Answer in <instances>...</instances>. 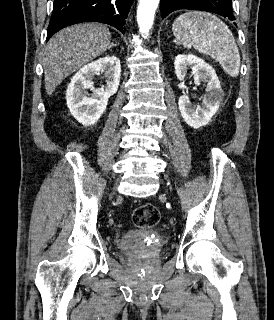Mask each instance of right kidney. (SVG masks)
Segmentation results:
<instances>
[{
    "label": "right kidney",
    "mask_w": 274,
    "mask_h": 320,
    "mask_svg": "<svg viewBox=\"0 0 274 320\" xmlns=\"http://www.w3.org/2000/svg\"><path fill=\"white\" fill-rule=\"evenodd\" d=\"M104 72L105 88H94L92 78ZM121 76V64L116 56H105L83 66L73 76L66 92V102L73 118L82 126H92L104 114L108 100L116 94ZM91 90L93 94H87Z\"/></svg>",
    "instance_id": "right-kidney-1"
}]
</instances>
